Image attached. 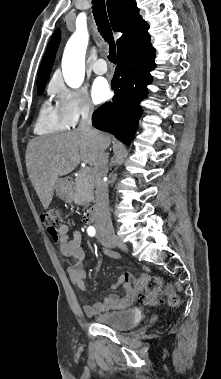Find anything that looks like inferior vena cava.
Listing matches in <instances>:
<instances>
[{
    "instance_id": "obj_1",
    "label": "inferior vena cava",
    "mask_w": 221,
    "mask_h": 379,
    "mask_svg": "<svg viewBox=\"0 0 221 379\" xmlns=\"http://www.w3.org/2000/svg\"><path fill=\"white\" fill-rule=\"evenodd\" d=\"M81 121L78 125V130L87 132L89 134L98 135V131L92 128L91 122V106L85 105L81 113ZM108 172V153L101 150L94 164L93 179L96 189V195L99 198V214L96 220V227L98 229L113 230L111 215L109 211V197H108V184L104 181V177Z\"/></svg>"
}]
</instances>
